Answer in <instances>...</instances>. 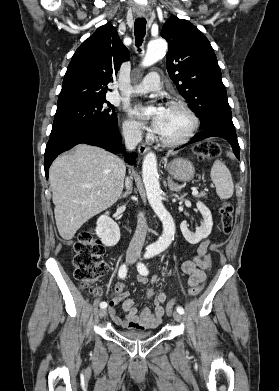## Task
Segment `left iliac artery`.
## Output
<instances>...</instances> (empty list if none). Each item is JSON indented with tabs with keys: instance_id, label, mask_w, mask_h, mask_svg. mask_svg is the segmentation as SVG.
Listing matches in <instances>:
<instances>
[{
	"instance_id": "44dca946",
	"label": "left iliac artery",
	"mask_w": 279,
	"mask_h": 391,
	"mask_svg": "<svg viewBox=\"0 0 279 391\" xmlns=\"http://www.w3.org/2000/svg\"><path fill=\"white\" fill-rule=\"evenodd\" d=\"M155 254H156V250H154V249L147 250V252L144 255V258L149 259V258L153 257ZM137 269L141 275H147L149 272L147 267L143 263H138ZM176 310L180 314H184V309L181 306H177Z\"/></svg>"
}]
</instances>
